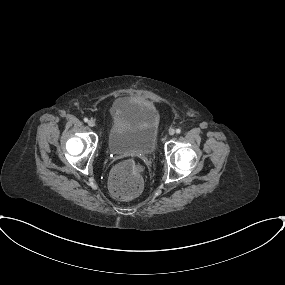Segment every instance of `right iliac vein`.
<instances>
[{
  "label": "right iliac vein",
  "mask_w": 285,
  "mask_h": 285,
  "mask_svg": "<svg viewBox=\"0 0 285 285\" xmlns=\"http://www.w3.org/2000/svg\"><path fill=\"white\" fill-rule=\"evenodd\" d=\"M88 125H89L90 127H94V126H95V121H94L93 119H90V120L88 121Z\"/></svg>",
  "instance_id": "obj_1"
}]
</instances>
